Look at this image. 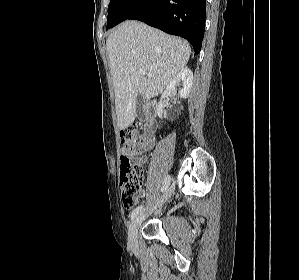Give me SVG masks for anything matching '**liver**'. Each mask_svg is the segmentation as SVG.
<instances>
[{"label": "liver", "instance_id": "6515ba94", "mask_svg": "<svg viewBox=\"0 0 299 280\" xmlns=\"http://www.w3.org/2000/svg\"><path fill=\"white\" fill-rule=\"evenodd\" d=\"M106 47L121 130L135 120L138 94L149 100L161 93L186 66L191 54L187 41L136 20L119 25L108 36ZM140 69L146 75H141Z\"/></svg>", "mask_w": 299, "mask_h": 280}]
</instances>
